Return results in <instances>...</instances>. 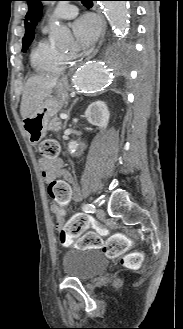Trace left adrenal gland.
Returning a JSON list of instances; mask_svg holds the SVG:
<instances>
[{
  "label": "left adrenal gland",
  "mask_w": 183,
  "mask_h": 329,
  "mask_svg": "<svg viewBox=\"0 0 183 329\" xmlns=\"http://www.w3.org/2000/svg\"><path fill=\"white\" fill-rule=\"evenodd\" d=\"M78 100H79V98H76L75 100H73V102L71 104V107H70V109L68 111V114L70 113V111L72 110L73 106L77 103ZM67 121H68V119L65 121L64 127H66Z\"/></svg>",
  "instance_id": "left-adrenal-gland-1"
}]
</instances>
